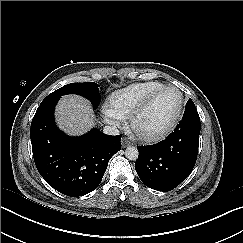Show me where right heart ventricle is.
I'll return each mask as SVG.
<instances>
[{"label": "right heart ventricle", "mask_w": 243, "mask_h": 243, "mask_svg": "<svg viewBox=\"0 0 243 243\" xmlns=\"http://www.w3.org/2000/svg\"><path fill=\"white\" fill-rule=\"evenodd\" d=\"M164 86V83L157 80L132 83L111 95V109L123 118L129 117L142 101Z\"/></svg>", "instance_id": "1"}]
</instances>
